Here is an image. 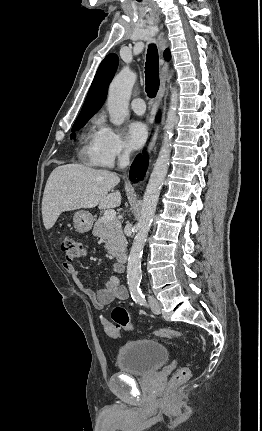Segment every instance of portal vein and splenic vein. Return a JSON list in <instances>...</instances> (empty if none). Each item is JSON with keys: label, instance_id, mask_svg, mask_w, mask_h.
Returning <instances> with one entry per match:
<instances>
[{"label": "portal vein and splenic vein", "instance_id": "18ae733b", "mask_svg": "<svg viewBox=\"0 0 262 431\" xmlns=\"http://www.w3.org/2000/svg\"><path fill=\"white\" fill-rule=\"evenodd\" d=\"M104 218L107 221H112L116 218V212L114 210H106L104 213Z\"/></svg>", "mask_w": 262, "mask_h": 431}]
</instances>
